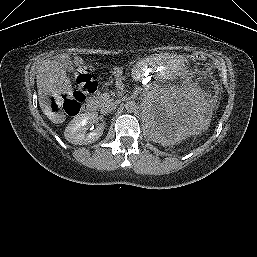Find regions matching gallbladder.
I'll return each mask as SVG.
<instances>
[{"label":"gallbladder","mask_w":257,"mask_h":257,"mask_svg":"<svg viewBox=\"0 0 257 257\" xmlns=\"http://www.w3.org/2000/svg\"><path fill=\"white\" fill-rule=\"evenodd\" d=\"M54 64L59 70L65 72H73L74 70L73 62L69 55L58 57Z\"/></svg>","instance_id":"bac80fb5"}]
</instances>
